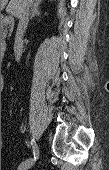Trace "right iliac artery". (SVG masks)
<instances>
[{
    "instance_id": "82829eb1",
    "label": "right iliac artery",
    "mask_w": 109,
    "mask_h": 170,
    "mask_svg": "<svg viewBox=\"0 0 109 170\" xmlns=\"http://www.w3.org/2000/svg\"><path fill=\"white\" fill-rule=\"evenodd\" d=\"M31 145H32V148H33L34 158H35V160H36V158H38V153H39L38 147H37V145L34 143L33 140L31 141ZM27 161H29V160H27Z\"/></svg>"
}]
</instances>
